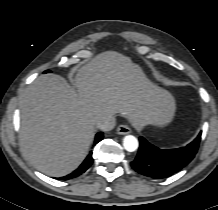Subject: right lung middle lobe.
<instances>
[{
    "label": "right lung middle lobe",
    "instance_id": "1",
    "mask_svg": "<svg viewBox=\"0 0 218 210\" xmlns=\"http://www.w3.org/2000/svg\"><path fill=\"white\" fill-rule=\"evenodd\" d=\"M49 72H50L49 70L45 71V73H49Z\"/></svg>",
    "mask_w": 218,
    "mask_h": 210
}]
</instances>
